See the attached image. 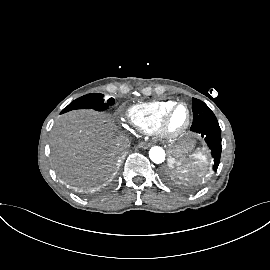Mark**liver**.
<instances>
[{"mask_svg":"<svg viewBox=\"0 0 270 270\" xmlns=\"http://www.w3.org/2000/svg\"><path fill=\"white\" fill-rule=\"evenodd\" d=\"M114 122L107 114L75 110L61 115L52 130V156L63 171L105 182L115 167Z\"/></svg>","mask_w":270,"mask_h":270,"instance_id":"liver-1","label":"liver"}]
</instances>
